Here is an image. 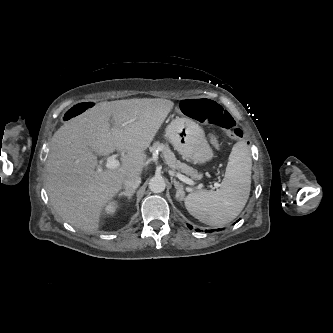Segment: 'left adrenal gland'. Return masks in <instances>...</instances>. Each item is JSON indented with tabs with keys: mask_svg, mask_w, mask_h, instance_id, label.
Returning <instances> with one entry per match:
<instances>
[{
	"mask_svg": "<svg viewBox=\"0 0 333 333\" xmlns=\"http://www.w3.org/2000/svg\"><path fill=\"white\" fill-rule=\"evenodd\" d=\"M173 183H174V186L177 190V194H176V197L179 199V200H182L183 197H184V189H183V186L177 182L175 179H173Z\"/></svg>",
	"mask_w": 333,
	"mask_h": 333,
	"instance_id": "obj_1",
	"label": "left adrenal gland"
}]
</instances>
